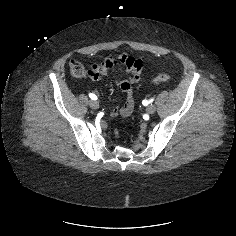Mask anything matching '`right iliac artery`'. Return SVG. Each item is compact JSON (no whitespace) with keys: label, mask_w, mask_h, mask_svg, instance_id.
I'll return each instance as SVG.
<instances>
[{"label":"right iliac artery","mask_w":236,"mask_h":236,"mask_svg":"<svg viewBox=\"0 0 236 236\" xmlns=\"http://www.w3.org/2000/svg\"><path fill=\"white\" fill-rule=\"evenodd\" d=\"M89 97L92 99V100H97V96L93 93H90L89 94Z\"/></svg>","instance_id":"obj_1"}]
</instances>
